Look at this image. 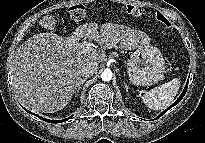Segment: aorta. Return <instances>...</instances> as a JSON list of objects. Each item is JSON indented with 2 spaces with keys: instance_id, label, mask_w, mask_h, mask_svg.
I'll list each match as a JSON object with an SVG mask.
<instances>
[{
  "instance_id": "aorta-1",
  "label": "aorta",
  "mask_w": 205,
  "mask_h": 143,
  "mask_svg": "<svg viewBox=\"0 0 205 143\" xmlns=\"http://www.w3.org/2000/svg\"><path fill=\"white\" fill-rule=\"evenodd\" d=\"M101 79L103 81H110L112 79V72L110 70H104L102 73H101Z\"/></svg>"
}]
</instances>
